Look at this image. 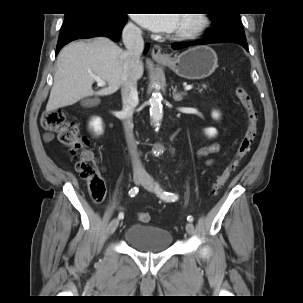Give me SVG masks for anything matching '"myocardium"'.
I'll use <instances>...</instances> for the list:
<instances>
[{
  "instance_id": "f54148a6",
  "label": "myocardium",
  "mask_w": 303,
  "mask_h": 303,
  "mask_svg": "<svg viewBox=\"0 0 303 303\" xmlns=\"http://www.w3.org/2000/svg\"><path fill=\"white\" fill-rule=\"evenodd\" d=\"M195 17L196 23L188 28L178 29L173 33L174 38L190 39L200 35L209 25V18L204 13H190Z\"/></svg>"
}]
</instances>
